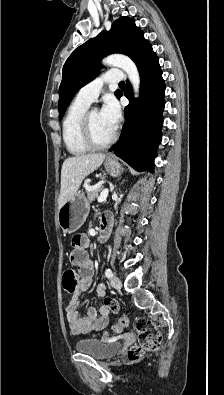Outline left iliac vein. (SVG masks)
<instances>
[{"instance_id":"left-iliac-vein-1","label":"left iliac vein","mask_w":224,"mask_h":395,"mask_svg":"<svg viewBox=\"0 0 224 395\" xmlns=\"http://www.w3.org/2000/svg\"><path fill=\"white\" fill-rule=\"evenodd\" d=\"M110 285L115 289H121L122 283L119 277L114 276L110 279Z\"/></svg>"}]
</instances>
